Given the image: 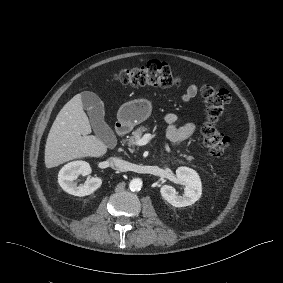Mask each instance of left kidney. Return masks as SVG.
<instances>
[{"instance_id":"5707ae66","label":"left kidney","mask_w":283,"mask_h":283,"mask_svg":"<svg viewBox=\"0 0 283 283\" xmlns=\"http://www.w3.org/2000/svg\"><path fill=\"white\" fill-rule=\"evenodd\" d=\"M176 177L185 185L184 194L178 195L175 188L163 185L160 189L162 197L174 207H185L194 204L202 194V184L198 173L188 167H178Z\"/></svg>"}]
</instances>
